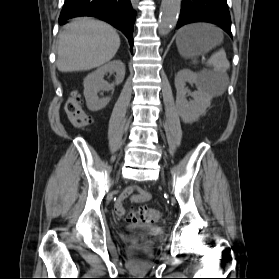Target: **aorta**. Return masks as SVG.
<instances>
[{"instance_id": "aorta-1", "label": "aorta", "mask_w": 279, "mask_h": 279, "mask_svg": "<svg viewBox=\"0 0 279 279\" xmlns=\"http://www.w3.org/2000/svg\"><path fill=\"white\" fill-rule=\"evenodd\" d=\"M181 0H162L158 30L161 35H167L176 25L180 13Z\"/></svg>"}]
</instances>
